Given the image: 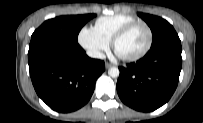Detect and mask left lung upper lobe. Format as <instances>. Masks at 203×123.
<instances>
[{"instance_id": "1", "label": "left lung upper lobe", "mask_w": 203, "mask_h": 123, "mask_svg": "<svg viewBox=\"0 0 203 123\" xmlns=\"http://www.w3.org/2000/svg\"><path fill=\"white\" fill-rule=\"evenodd\" d=\"M138 15L148 24L152 31V47L158 46L170 39L179 38L173 26L165 19L144 13Z\"/></svg>"}]
</instances>
